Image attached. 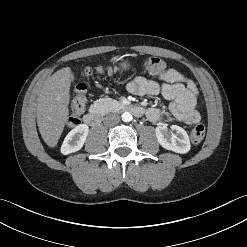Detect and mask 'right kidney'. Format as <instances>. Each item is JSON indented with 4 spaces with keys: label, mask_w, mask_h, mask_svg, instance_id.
<instances>
[{
    "label": "right kidney",
    "mask_w": 247,
    "mask_h": 247,
    "mask_svg": "<svg viewBox=\"0 0 247 247\" xmlns=\"http://www.w3.org/2000/svg\"><path fill=\"white\" fill-rule=\"evenodd\" d=\"M89 127L86 124H81L72 129L65 137L61 146V153L64 155L80 150L87 138Z\"/></svg>",
    "instance_id": "obj_1"
}]
</instances>
